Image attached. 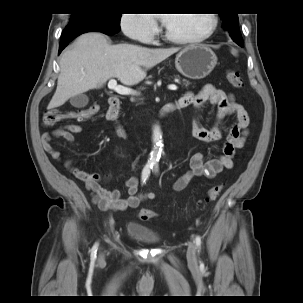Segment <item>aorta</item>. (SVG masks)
Masks as SVG:
<instances>
[{"label": "aorta", "instance_id": "aorta-1", "mask_svg": "<svg viewBox=\"0 0 303 303\" xmlns=\"http://www.w3.org/2000/svg\"><path fill=\"white\" fill-rule=\"evenodd\" d=\"M153 143L154 149L150 154L148 159V164L156 165L159 162L161 148H162V133L158 126H155L153 129Z\"/></svg>", "mask_w": 303, "mask_h": 303}]
</instances>
